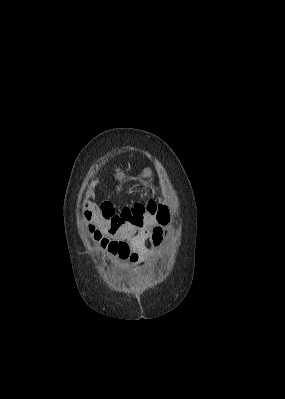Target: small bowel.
<instances>
[{
    "mask_svg": "<svg viewBox=\"0 0 285 399\" xmlns=\"http://www.w3.org/2000/svg\"><path fill=\"white\" fill-rule=\"evenodd\" d=\"M158 211L155 210L153 213L145 211L144 207L139 205L132 209H125L122 212V216L125 220L123 225L115 230L114 237H120L131 241L137 248L136 254H131L134 257L142 256V257H151L154 254L151 250H146L143 248V242L148 240L152 245V250L158 248L162 242L163 231L161 227H156L154 230H148L146 225L137 224V218L144 216V219L152 222H156ZM140 227V228H138ZM138 229L136 236H133V231ZM113 236L109 237L111 240L114 238Z\"/></svg>",
    "mask_w": 285,
    "mask_h": 399,
    "instance_id": "c3829d8e",
    "label": "small bowel"
}]
</instances>
